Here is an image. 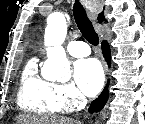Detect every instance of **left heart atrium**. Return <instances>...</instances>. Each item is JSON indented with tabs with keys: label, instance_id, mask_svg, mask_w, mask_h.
Wrapping results in <instances>:
<instances>
[{
	"label": "left heart atrium",
	"instance_id": "39dd6f15",
	"mask_svg": "<svg viewBox=\"0 0 145 124\" xmlns=\"http://www.w3.org/2000/svg\"><path fill=\"white\" fill-rule=\"evenodd\" d=\"M73 74L77 87L86 96L96 95L103 86L104 73L96 59L89 58L75 62Z\"/></svg>",
	"mask_w": 145,
	"mask_h": 124
}]
</instances>
